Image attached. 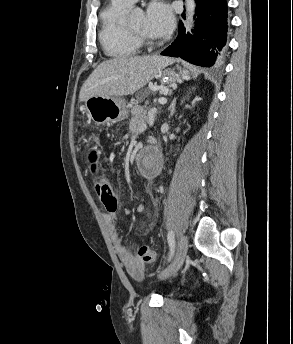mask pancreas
Masks as SVG:
<instances>
[{"label":"pancreas","instance_id":"1","mask_svg":"<svg viewBox=\"0 0 293 344\" xmlns=\"http://www.w3.org/2000/svg\"><path fill=\"white\" fill-rule=\"evenodd\" d=\"M131 113L133 116L131 119V124H144L146 120V111L142 107L135 105L131 110Z\"/></svg>","mask_w":293,"mask_h":344}]
</instances>
